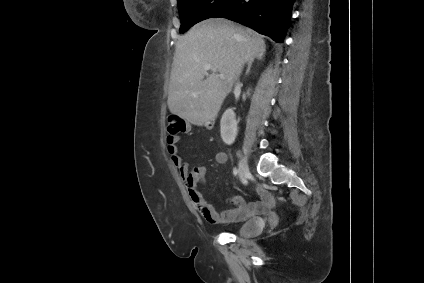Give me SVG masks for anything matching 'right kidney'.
Returning a JSON list of instances; mask_svg holds the SVG:
<instances>
[{"label":"right kidney","instance_id":"1","mask_svg":"<svg viewBox=\"0 0 424 283\" xmlns=\"http://www.w3.org/2000/svg\"><path fill=\"white\" fill-rule=\"evenodd\" d=\"M249 95V90L247 92ZM221 138L227 145H231L235 142L238 134V126L236 122V116L233 109L228 108L222 115L221 122Z\"/></svg>","mask_w":424,"mask_h":283}]
</instances>
